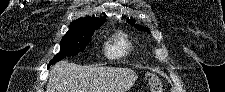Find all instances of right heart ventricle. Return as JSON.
Segmentation results:
<instances>
[{
    "label": "right heart ventricle",
    "instance_id": "1",
    "mask_svg": "<svg viewBox=\"0 0 225 92\" xmlns=\"http://www.w3.org/2000/svg\"><path fill=\"white\" fill-rule=\"evenodd\" d=\"M106 56L110 59L127 58L134 53V47L131 40L125 33L116 34L105 44Z\"/></svg>",
    "mask_w": 225,
    "mask_h": 92
}]
</instances>
